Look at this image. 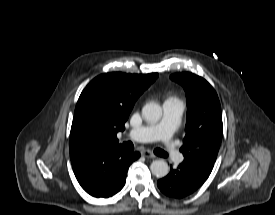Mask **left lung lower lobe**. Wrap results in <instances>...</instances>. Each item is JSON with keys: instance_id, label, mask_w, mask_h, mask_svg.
Returning a JSON list of instances; mask_svg holds the SVG:
<instances>
[{"instance_id": "0a47b994", "label": "left lung lower lobe", "mask_w": 275, "mask_h": 215, "mask_svg": "<svg viewBox=\"0 0 275 215\" xmlns=\"http://www.w3.org/2000/svg\"><path fill=\"white\" fill-rule=\"evenodd\" d=\"M209 177V175L196 171L185 163L157 182L159 189L172 198H183L195 192Z\"/></svg>"}]
</instances>
